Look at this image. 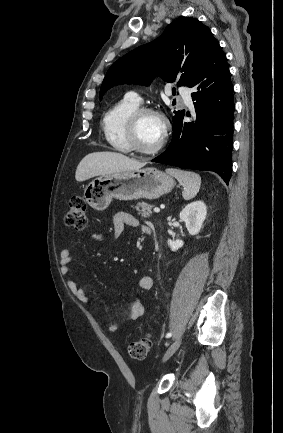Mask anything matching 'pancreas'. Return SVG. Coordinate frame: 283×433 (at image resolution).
I'll use <instances>...</instances> for the list:
<instances>
[{"mask_svg":"<svg viewBox=\"0 0 283 433\" xmlns=\"http://www.w3.org/2000/svg\"><path fill=\"white\" fill-rule=\"evenodd\" d=\"M151 206L152 204H148V202H137L135 208L139 214H142V217H150V214H152Z\"/></svg>","mask_w":283,"mask_h":433,"instance_id":"pancreas-1","label":"pancreas"}]
</instances>
